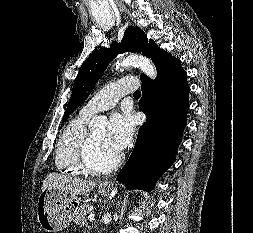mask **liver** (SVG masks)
I'll return each instance as SVG.
<instances>
[{
  "label": "liver",
  "instance_id": "liver-1",
  "mask_svg": "<svg viewBox=\"0 0 253 233\" xmlns=\"http://www.w3.org/2000/svg\"><path fill=\"white\" fill-rule=\"evenodd\" d=\"M96 186L95 182L74 178L64 174L50 173L42 184V191L45 189H59L70 195H84Z\"/></svg>",
  "mask_w": 253,
  "mask_h": 233
}]
</instances>
